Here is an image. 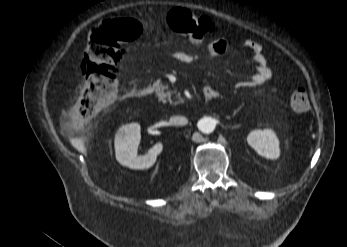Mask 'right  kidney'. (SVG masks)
<instances>
[{
    "instance_id": "ca27d5eb",
    "label": "right kidney",
    "mask_w": 347,
    "mask_h": 247,
    "mask_svg": "<svg viewBox=\"0 0 347 247\" xmlns=\"http://www.w3.org/2000/svg\"><path fill=\"white\" fill-rule=\"evenodd\" d=\"M140 130L138 123H130L120 127L115 136L117 161L123 166L138 170L150 168L163 149L162 143L158 142L146 154H138L137 150L141 138Z\"/></svg>"
}]
</instances>
